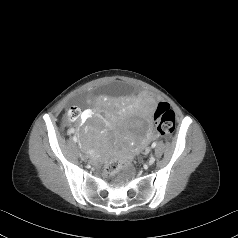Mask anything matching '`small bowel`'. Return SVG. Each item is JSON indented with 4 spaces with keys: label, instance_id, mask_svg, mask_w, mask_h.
<instances>
[{
    "label": "small bowel",
    "instance_id": "small-bowel-1",
    "mask_svg": "<svg viewBox=\"0 0 238 238\" xmlns=\"http://www.w3.org/2000/svg\"><path fill=\"white\" fill-rule=\"evenodd\" d=\"M145 109H146V111H147L149 114H151V113L155 112L156 107H155V105H154L153 102L148 101V102H146V104H145ZM87 114H88V113H87ZM150 134H151V132H150V130H149V131L147 132V137H149Z\"/></svg>",
    "mask_w": 238,
    "mask_h": 238
}]
</instances>
